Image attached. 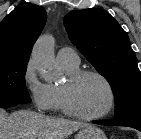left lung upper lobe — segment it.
Returning <instances> with one entry per match:
<instances>
[{
  "label": "left lung upper lobe",
  "mask_w": 141,
  "mask_h": 139,
  "mask_svg": "<svg viewBox=\"0 0 141 139\" xmlns=\"http://www.w3.org/2000/svg\"><path fill=\"white\" fill-rule=\"evenodd\" d=\"M63 22L71 42L111 85L115 118L141 114V73L119 23L96 8L72 11Z\"/></svg>",
  "instance_id": "obj_1"
}]
</instances>
